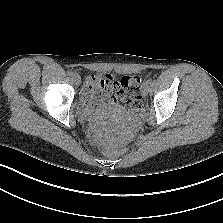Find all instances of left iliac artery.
<instances>
[{
  "mask_svg": "<svg viewBox=\"0 0 223 223\" xmlns=\"http://www.w3.org/2000/svg\"><path fill=\"white\" fill-rule=\"evenodd\" d=\"M151 82H152V79H151V78H149V79H147V80H146V82H145V83L150 84Z\"/></svg>",
  "mask_w": 223,
  "mask_h": 223,
  "instance_id": "obj_1",
  "label": "left iliac artery"
}]
</instances>
